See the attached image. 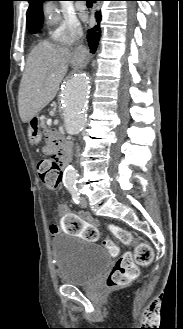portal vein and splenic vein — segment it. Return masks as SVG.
Returning a JSON list of instances; mask_svg holds the SVG:
<instances>
[{
	"label": "portal vein and splenic vein",
	"instance_id": "portal-vein-and-splenic-vein-1",
	"mask_svg": "<svg viewBox=\"0 0 183 329\" xmlns=\"http://www.w3.org/2000/svg\"><path fill=\"white\" fill-rule=\"evenodd\" d=\"M51 123H52V120L51 119H48L47 120V125H51Z\"/></svg>",
	"mask_w": 183,
	"mask_h": 329
}]
</instances>
